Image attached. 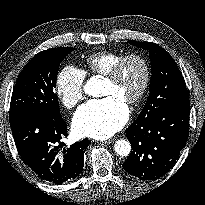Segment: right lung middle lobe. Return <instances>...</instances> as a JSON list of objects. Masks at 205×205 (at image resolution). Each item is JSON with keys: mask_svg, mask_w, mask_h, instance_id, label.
Segmentation results:
<instances>
[{"mask_svg": "<svg viewBox=\"0 0 205 205\" xmlns=\"http://www.w3.org/2000/svg\"><path fill=\"white\" fill-rule=\"evenodd\" d=\"M72 47H57L36 54L23 68L13 89L10 113L30 112L50 119L62 118L55 94L62 60Z\"/></svg>", "mask_w": 205, "mask_h": 205, "instance_id": "dd1d6c3e", "label": "right lung middle lobe"}]
</instances>
